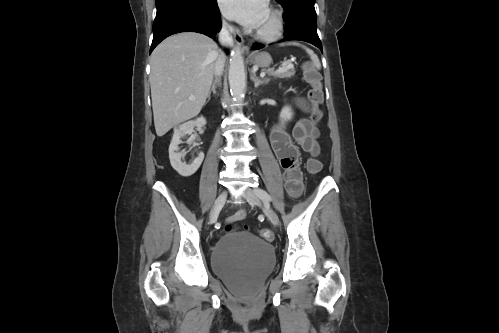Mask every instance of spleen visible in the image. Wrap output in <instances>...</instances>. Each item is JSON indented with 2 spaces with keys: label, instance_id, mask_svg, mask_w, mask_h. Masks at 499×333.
<instances>
[{
  "label": "spleen",
  "instance_id": "spleen-1",
  "mask_svg": "<svg viewBox=\"0 0 499 333\" xmlns=\"http://www.w3.org/2000/svg\"><path fill=\"white\" fill-rule=\"evenodd\" d=\"M284 45H295V46H300L302 47L303 49H305V51L307 52V54L310 56V59L312 60L313 62V65L316 69L320 70L321 69V63L319 61V58L318 56L309 48H307L306 46H303L297 42H288V43H284V44H281V46H284Z\"/></svg>",
  "mask_w": 499,
  "mask_h": 333
}]
</instances>
